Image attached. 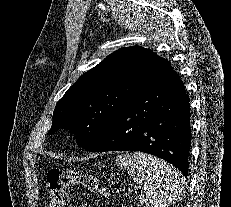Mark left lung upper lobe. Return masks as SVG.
<instances>
[{
	"instance_id": "5c2ea615",
	"label": "left lung upper lobe",
	"mask_w": 231,
	"mask_h": 207,
	"mask_svg": "<svg viewBox=\"0 0 231 207\" xmlns=\"http://www.w3.org/2000/svg\"><path fill=\"white\" fill-rule=\"evenodd\" d=\"M161 57L143 47L119 49L84 73L57 103L48 134L68 129L88 149L146 86Z\"/></svg>"
}]
</instances>
